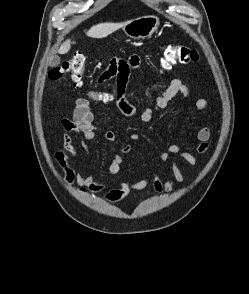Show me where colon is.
Returning a JSON list of instances; mask_svg holds the SVG:
<instances>
[{"instance_id": "colon-1", "label": "colon", "mask_w": 249, "mask_h": 294, "mask_svg": "<svg viewBox=\"0 0 249 294\" xmlns=\"http://www.w3.org/2000/svg\"><path fill=\"white\" fill-rule=\"evenodd\" d=\"M199 54L196 49L184 45H167L164 48L160 59L161 67L164 70H171L177 65H187L197 61ZM85 55L82 52H76L62 66L50 71L49 79L57 81L68 76L76 88H82L85 74ZM128 69L127 61L122 58H114L104 71L106 75L119 76ZM96 100H104L102 93L91 94ZM132 135V134H131ZM130 135V136H131Z\"/></svg>"}]
</instances>
